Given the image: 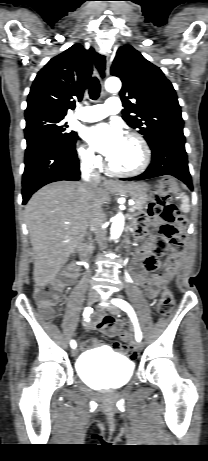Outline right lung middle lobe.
<instances>
[{
    "label": "right lung middle lobe",
    "instance_id": "dd1d6c3e",
    "mask_svg": "<svg viewBox=\"0 0 208 461\" xmlns=\"http://www.w3.org/2000/svg\"><path fill=\"white\" fill-rule=\"evenodd\" d=\"M64 116L31 115L26 116L25 138L26 150L45 141H53L70 147H75L77 134L67 130L68 125L63 122Z\"/></svg>",
    "mask_w": 208,
    "mask_h": 461
}]
</instances>
